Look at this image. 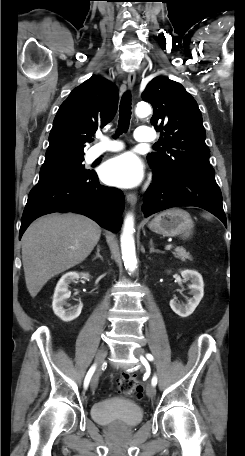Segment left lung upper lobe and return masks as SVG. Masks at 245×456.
I'll list each match as a JSON object with an SVG mask.
<instances>
[{"label":"left lung upper lobe","instance_id":"1","mask_svg":"<svg viewBox=\"0 0 245 456\" xmlns=\"http://www.w3.org/2000/svg\"><path fill=\"white\" fill-rule=\"evenodd\" d=\"M142 99L153 106L151 123L161 132L162 148L149 153L150 166L159 173L174 172L215 178L202 115L185 88L167 77L148 83Z\"/></svg>","mask_w":245,"mask_h":456}]
</instances>
